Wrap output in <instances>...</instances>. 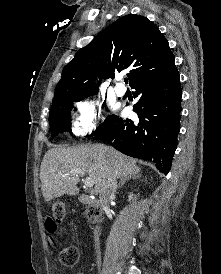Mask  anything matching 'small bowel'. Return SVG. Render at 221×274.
<instances>
[{"mask_svg":"<svg viewBox=\"0 0 221 274\" xmlns=\"http://www.w3.org/2000/svg\"><path fill=\"white\" fill-rule=\"evenodd\" d=\"M44 227L46 232L50 235L53 236L57 232V225L53 221L51 217H46L45 222H44ZM52 238H49V241L52 242ZM81 274V273H79Z\"/></svg>","mask_w":221,"mask_h":274,"instance_id":"small-bowel-1","label":"small bowel"}]
</instances>
